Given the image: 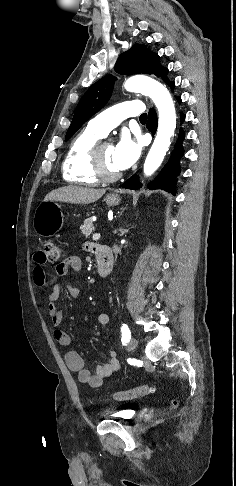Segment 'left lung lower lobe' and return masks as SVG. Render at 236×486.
Segmentation results:
<instances>
[{
  "instance_id": "1",
  "label": "left lung lower lobe",
  "mask_w": 236,
  "mask_h": 486,
  "mask_svg": "<svg viewBox=\"0 0 236 486\" xmlns=\"http://www.w3.org/2000/svg\"><path fill=\"white\" fill-rule=\"evenodd\" d=\"M165 82L171 87L172 90L174 89L175 86L174 82H171L169 80H166ZM176 99L178 100V102H181L180 97H176ZM184 119H185V115L181 113V122H183ZM147 128L153 134L156 132L157 117H156V112L153 108L150 109L148 114ZM183 140H184V132L180 130L178 141L176 142L175 148L170 156L168 163L161 170L158 177L148 185L149 189H163L165 191L172 193L173 195L175 194L174 182L177 175L180 174L179 160L184 153L182 147ZM122 186L127 189H139L141 187V184L138 180L137 175H133L126 182H124Z\"/></svg>"
}]
</instances>
